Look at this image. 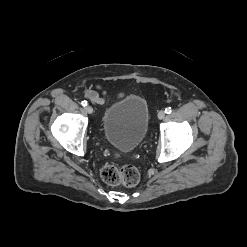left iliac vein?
Returning a JSON list of instances; mask_svg holds the SVG:
<instances>
[{
	"mask_svg": "<svg viewBox=\"0 0 247 247\" xmlns=\"http://www.w3.org/2000/svg\"><path fill=\"white\" fill-rule=\"evenodd\" d=\"M165 117V112L163 110L159 111L158 118L163 119Z\"/></svg>",
	"mask_w": 247,
	"mask_h": 247,
	"instance_id": "1",
	"label": "left iliac vein"
}]
</instances>
